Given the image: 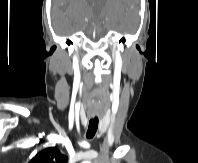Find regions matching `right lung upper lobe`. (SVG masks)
Returning a JSON list of instances; mask_svg holds the SVG:
<instances>
[{"instance_id": "1", "label": "right lung upper lobe", "mask_w": 198, "mask_h": 163, "mask_svg": "<svg viewBox=\"0 0 198 163\" xmlns=\"http://www.w3.org/2000/svg\"><path fill=\"white\" fill-rule=\"evenodd\" d=\"M67 157L56 147L46 148L39 152L29 163H66Z\"/></svg>"}]
</instances>
